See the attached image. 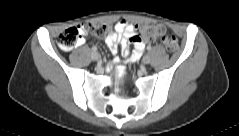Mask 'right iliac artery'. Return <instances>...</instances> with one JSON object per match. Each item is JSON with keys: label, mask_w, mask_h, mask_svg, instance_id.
<instances>
[{"label": "right iliac artery", "mask_w": 239, "mask_h": 136, "mask_svg": "<svg viewBox=\"0 0 239 136\" xmlns=\"http://www.w3.org/2000/svg\"><path fill=\"white\" fill-rule=\"evenodd\" d=\"M92 50H93L94 52H96V51H97V47H96V46H93V47H92Z\"/></svg>", "instance_id": "right-iliac-artery-1"}]
</instances>
